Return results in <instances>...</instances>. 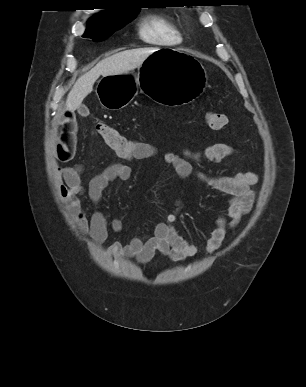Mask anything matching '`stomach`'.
I'll list each match as a JSON object with an SVG mask.
<instances>
[{"instance_id":"0dacf381","label":"stomach","mask_w":306,"mask_h":387,"mask_svg":"<svg viewBox=\"0 0 306 387\" xmlns=\"http://www.w3.org/2000/svg\"><path fill=\"white\" fill-rule=\"evenodd\" d=\"M206 84V71L197 59L173 46H157L138 67L135 78L129 74L104 76L97 96L103 107L115 109L127 106L135 91H146L161 108H186Z\"/></svg>"}]
</instances>
